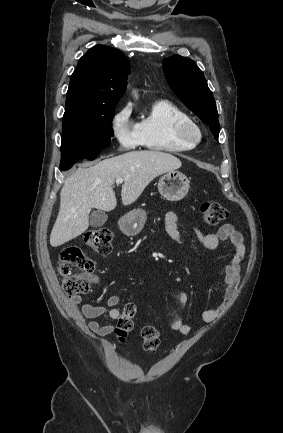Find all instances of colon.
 Masks as SVG:
<instances>
[{"label": "colon", "instance_id": "colon-1", "mask_svg": "<svg viewBox=\"0 0 283 433\" xmlns=\"http://www.w3.org/2000/svg\"><path fill=\"white\" fill-rule=\"evenodd\" d=\"M202 219L207 225H217L227 217L226 209L217 201L206 200L200 207ZM85 244L96 253L106 255L111 250V234L106 229H95L84 235ZM62 278L64 292L69 296L85 293L89 289V278L94 270V262L77 246L64 248L57 266ZM136 306L127 303L118 317L115 335L123 342L133 329ZM144 350L155 353L160 344V335L153 325H146L141 331Z\"/></svg>", "mask_w": 283, "mask_h": 433}]
</instances>
